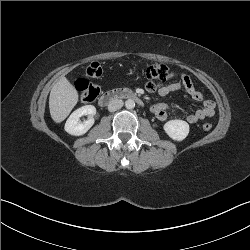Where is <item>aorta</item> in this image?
I'll return each mask as SVG.
<instances>
[{"instance_id": "obj_1", "label": "aorta", "mask_w": 250, "mask_h": 250, "mask_svg": "<svg viewBox=\"0 0 250 250\" xmlns=\"http://www.w3.org/2000/svg\"><path fill=\"white\" fill-rule=\"evenodd\" d=\"M125 107H126L127 109H133V108L135 107V102H134V100H132V99L126 100V102H125Z\"/></svg>"}]
</instances>
